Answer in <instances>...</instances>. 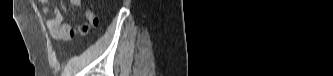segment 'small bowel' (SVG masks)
<instances>
[{
    "instance_id": "1",
    "label": "small bowel",
    "mask_w": 333,
    "mask_h": 76,
    "mask_svg": "<svg viewBox=\"0 0 333 76\" xmlns=\"http://www.w3.org/2000/svg\"><path fill=\"white\" fill-rule=\"evenodd\" d=\"M70 4L73 7L80 8L82 6L81 0H70ZM43 5L42 13L46 19L47 28L54 39H76L77 33L73 31V26L64 21L62 13L53 1L41 0ZM85 18L91 22V24H97V18L93 11L87 9L84 11ZM88 26L80 27V31L86 33ZM80 33L79 37L83 38L84 34Z\"/></svg>"
}]
</instances>
